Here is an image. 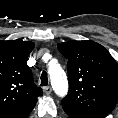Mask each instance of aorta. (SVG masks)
<instances>
[{
    "instance_id": "762f6f07",
    "label": "aorta",
    "mask_w": 118,
    "mask_h": 118,
    "mask_svg": "<svg viewBox=\"0 0 118 118\" xmlns=\"http://www.w3.org/2000/svg\"><path fill=\"white\" fill-rule=\"evenodd\" d=\"M48 73L55 93L64 97L68 92V80L62 67L59 64H52L48 67Z\"/></svg>"
}]
</instances>
